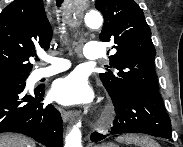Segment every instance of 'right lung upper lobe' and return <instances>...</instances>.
Listing matches in <instances>:
<instances>
[{"label": "right lung upper lobe", "mask_w": 183, "mask_h": 147, "mask_svg": "<svg viewBox=\"0 0 183 147\" xmlns=\"http://www.w3.org/2000/svg\"><path fill=\"white\" fill-rule=\"evenodd\" d=\"M52 29L43 0H14L0 13V82L28 77L35 48L48 50Z\"/></svg>", "instance_id": "right-lung-upper-lobe-1"}]
</instances>
